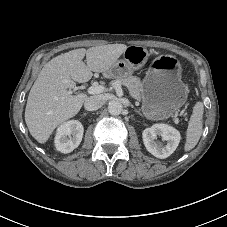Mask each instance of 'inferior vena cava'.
<instances>
[{
  "instance_id": "obj_1",
  "label": "inferior vena cava",
  "mask_w": 227,
  "mask_h": 227,
  "mask_svg": "<svg viewBox=\"0 0 227 227\" xmlns=\"http://www.w3.org/2000/svg\"><path fill=\"white\" fill-rule=\"evenodd\" d=\"M105 99L101 95L90 96L84 102V108L87 111H95L103 106Z\"/></svg>"
}]
</instances>
